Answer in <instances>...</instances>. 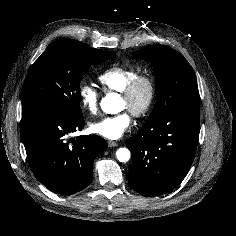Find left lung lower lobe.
<instances>
[{"mask_svg":"<svg viewBox=\"0 0 236 236\" xmlns=\"http://www.w3.org/2000/svg\"><path fill=\"white\" fill-rule=\"evenodd\" d=\"M200 132V111H175L126 140L131 151L130 186L152 197L175 189L193 162Z\"/></svg>","mask_w":236,"mask_h":236,"instance_id":"0a47b994","label":"left lung lower lobe"}]
</instances>
